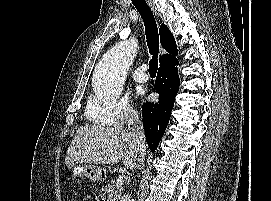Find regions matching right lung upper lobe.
I'll return each instance as SVG.
<instances>
[{
    "label": "right lung upper lobe",
    "mask_w": 271,
    "mask_h": 201,
    "mask_svg": "<svg viewBox=\"0 0 271 201\" xmlns=\"http://www.w3.org/2000/svg\"><path fill=\"white\" fill-rule=\"evenodd\" d=\"M159 33L162 47L170 53L162 55L160 57V66H161L167 62L176 60L175 55L177 54L178 50L172 33L164 23L161 24Z\"/></svg>",
    "instance_id": "right-lung-upper-lobe-1"
}]
</instances>
